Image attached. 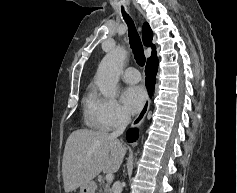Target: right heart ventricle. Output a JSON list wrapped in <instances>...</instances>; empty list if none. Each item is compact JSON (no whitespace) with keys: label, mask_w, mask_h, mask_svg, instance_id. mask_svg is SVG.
I'll use <instances>...</instances> for the list:
<instances>
[{"label":"right heart ventricle","mask_w":237,"mask_h":193,"mask_svg":"<svg viewBox=\"0 0 237 193\" xmlns=\"http://www.w3.org/2000/svg\"><path fill=\"white\" fill-rule=\"evenodd\" d=\"M93 101H94V94L92 91H89L84 98L85 115L88 123L93 127H97L92 112Z\"/></svg>","instance_id":"1"}]
</instances>
